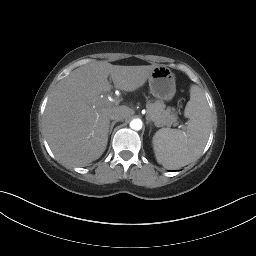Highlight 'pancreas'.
Masks as SVG:
<instances>
[{
  "label": "pancreas",
  "mask_w": 256,
  "mask_h": 256,
  "mask_svg": "<svg viewBox=\"0 0 256 256\" xmlns=\"http://www.w3.org/2000/svg\"><path fill=\"white\" fill-rule=\"evenodd\" d=\"M147 120L154 122L156 127L176 125L177 115L171 108H166L163 101L147 102ZM166 108V109H165Z\"/></svg>",
  "instance_id": "cf45deb5"
}]
</instances>
